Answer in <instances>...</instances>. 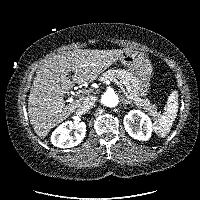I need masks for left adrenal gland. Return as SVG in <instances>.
<instances>
[{
  "instance_id": "left-adrenal-gland-1",
  "label": "left adrenal gland",
  "mask_w": 200,
  "mask_h": 200,
  "mask_svg": "<svg viewBox=\"0 0 200 200\" xmlns=\"http://www.w3.org/2000/svg\"><path fill=\"white\" fill-rule=\"evenodd\" d=\"M122 101H123V106H126L127 104H130L131 106H133V103L127 100L126 98H122Z\"/></svg>"
}]
</instances>
